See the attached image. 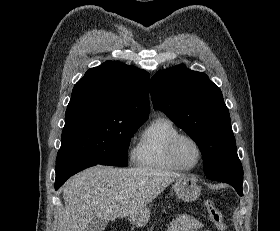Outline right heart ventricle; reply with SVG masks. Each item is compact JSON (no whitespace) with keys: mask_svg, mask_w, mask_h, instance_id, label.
<instances>
[{"mask_svg":"<svg viewBox=\"0 0 280 231\" xmlns=\"http://www.w3.org/2000/svg\"><path fill=\"white\" fill-rule=\"evenodd\" d=\"M178 133L180 130L171 118L164 115L153 118L139 135L133 152L135 163L145 168L179 170L168 156L169 143Z\"/></svg>","mask_w":280,"mask_h":231,"instance_id":"1","label":"right heart ventricle"}]
</instances>
